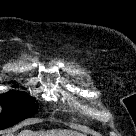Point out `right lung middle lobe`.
<instances>
[{"label":"right lung middle lobe","instance_id":"right-lung-middle-lobe-1","mask_svg":"<svg viewBox=\"0 0 136 136\" xmlns=\"http://www.w3.org/2000/svg\"><path fill=\"white\" fill-rule=\"evenodd\" d=\"M3 112L0 114V130L33 116L38 106L34 99L19 91H10L0 96Z\"/></svg>","mask_w":136,"mask_h":136}]
</instances>
